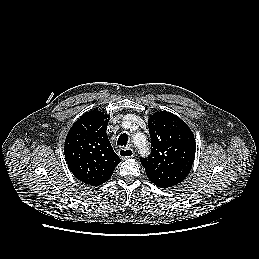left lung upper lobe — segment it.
<instances>
[{
    "mask_svg": "<svg viewBox=\"0 0 259 259\" xmlns=\"http://www.w3.org/2000/svg\"><path fill=\"white\" fill-rule=\"evenodd\" d=\"M151 155L141 159L146 173L176 174L185 179L195 158V138L188 125L176 115L159 111L148 120Z\"/></svg>",
    "mask_w": 259,
    "mask_h": 259,
    "instance_id": "obj_1",
    "label": "left lung upper lobe"
}]
</instances>
